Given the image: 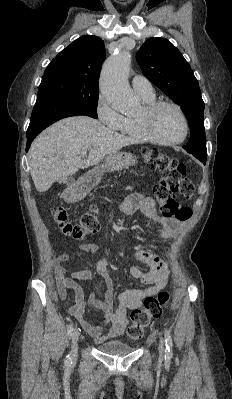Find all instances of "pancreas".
<instances>
[{
  "label": "pancreas",
  "instance_id": "cf45deb5",
  "mask_svg": "<svg viewBox=\"0 0 232 399\" xmlns=\"http://www.w3.org/2000/svg\"><path fill=\"white\" fill-rule=\"evenodd\" d=\"M125 190H133L132 186H126Z\"/></svg>",
  "mask_w": 232,
  "mask_h": 399
}]
</instances>
